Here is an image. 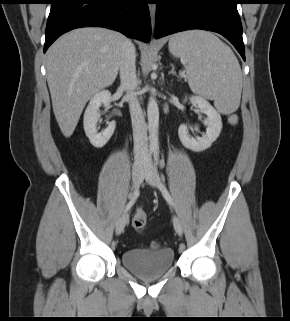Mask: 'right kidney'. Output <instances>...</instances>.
<instances>
[{
  "mask_svg": "<svg viewBox=\"0 0 290 321\" xmlns=\"http://www.w3.org/2000/svg\"><path fill=\"white\" fill-rule=\"evenodd\" d=\"M111 101V93L108 90H103L96 93L90 100L84 113V131L89 138L90 143L96 148H102L111 138L115 130V122L112 121L108 127L101 132L97 130V122L100 117L99 107L109 106Z\"/></svg>",
  "mask_w": 290,
  "mask_h": 321,
  "instance_id": "1",
  "label": "right kidney"
}]
</instances>
